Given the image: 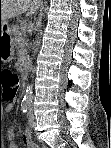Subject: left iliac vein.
<instances>
[{
  "mask_svg": "<svg viewBox=\"0 0 111 148\" xmlns=\"http://www.w3.org/2000/svg\"><path fill=\"white\" fill-rule=\"evenodd\" d=\"M28 122H29L30 127L35 126V116H34V113H33L31 108H30V110L28 112Z\"/></svg>",
  "mask_w": 111,
  "mask_h": 148,
  "instance_id": "obj_1",
  "label": "left iliac vein"
}]
</instances>
